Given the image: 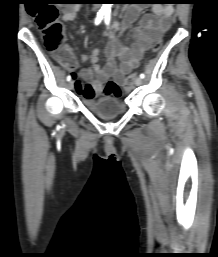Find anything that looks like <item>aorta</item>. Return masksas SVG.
I'll list each match as a JSON object with an SVG mask.
<instances>
[{
	"label": "aorta",
	"mask_w": 218,
	"mask_h": 257,
	"mask_svg": "<svg viewBox=\"0 0 218 257\" xmlns=\"http://www.w3.org/2000/svg\"><path fill=\"white\" fill-rule=\"evenodd\" d=\"M112 4H102L101 12L110 13Z\"/></svg>",
	"instance_id": "aorta-1"
}]
</instances>
